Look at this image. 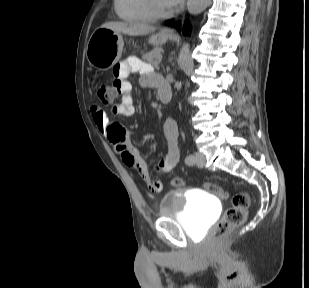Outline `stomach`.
<instances>
[{
	"mask_svg": "<svg viewBox=\"0 0 309 288\" xmlns=\"http://www.w3.org/2000/svg\"><path fill=\"white\" fill-rule=\"evenodd\" d=\"M168 38L166 35L157 33L151 35L148 42L159 46L164 44ZM123 46L121 33L100 27L89 38L86 56L90 65L100 70H107L120 60Z\"/></svg>",
	"mask_w": 309,
	"mask_h": 288,
	"instance_id": "1",
	"label": "stomach"
}]
</instances>
